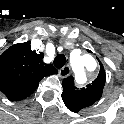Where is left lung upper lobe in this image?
Returning a JSON list of instances; mask_svg holds the SVG:
<instances>
[{
  "mask_svg": "<svg viewBox=\"0 0 124 124\" xmlns=\"http://www.w3.org/2000/svg\"><path fill=\"white\" fill-rule=\"evenodd\" d=\"M88 52L91 51L88 50ZM105 81L106 75L101 63L97 78L91 84H88L86 88L77 89L74 86L73 77H67L62 82V100L69 110L79 112L101 98Z\"/></svg>",
  "mask_w": 124,
  "mask_h": 124,
  "instance_id": "1",
  "label": "left lung upper lobe"
}]
</instances>
